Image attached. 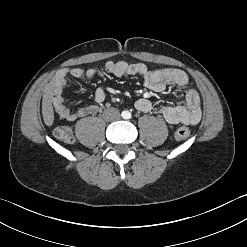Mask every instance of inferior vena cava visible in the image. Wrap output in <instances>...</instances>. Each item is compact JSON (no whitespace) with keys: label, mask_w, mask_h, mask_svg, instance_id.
Instances as JSON below:
<instances>
[{"label":"inferior vena cava","mask_w":247,"mask_h":247,"mask_svg":"<svg viewBox=\"0 0 247 247\" xmlns=\"http://www.w3.org/2000/svg\"><path fill=\"white\" fill-rule=\"evenodd\" d=\"M103 117L106 120L112 121V120L119 119L120 118V113H119V111L116 108H109V109H106L104 111Z\"/></svg>","instance_id":"602c4592"}]
</instances>
